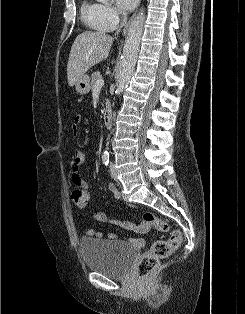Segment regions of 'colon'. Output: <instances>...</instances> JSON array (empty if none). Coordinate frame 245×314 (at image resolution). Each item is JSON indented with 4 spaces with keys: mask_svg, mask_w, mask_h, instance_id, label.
I'll return each mask as SVG.
<instances>
[{
    "mask_svg": "<svg viewBox=\"0 0 245 314\" xmlns=\"http://www.w3.org/2000/svg\"><path fill=\"white\" fill-rule=\"evenodd\" d=\"M73 203L78 207H86L89 202V192L86 189H76L71 195ZM134 228V224H131ZM141 229L148 231L156 229L161 232L169 230L168 224L158 218L151 212H144L142 215ZM182 242V234L179 231H173L167 240H156L149 250L141 257L137 265L138 275L145 277L150 274L157 266L161 259L168 258L176 251Z\"/></svg>",
    "mask_w": 245,
    "mask_h": 314,
    "instance_id": "colon-1",
    "label": "colon"
}]
</instances>
